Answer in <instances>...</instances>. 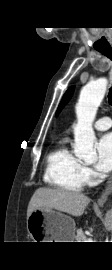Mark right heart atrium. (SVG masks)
Listing matches in <instances>:
<instances>
[{
    "label": "right heart atrium",
    "mask_w": 112,
    "mask_h": 270,
    "mask_svg": "<svg viewBox=\"0 0 112 270\" xmlns=\"http://www.w3.org/2000/svg\"><path fill=\"white\" fill-rule=\"evenodd\" d=\"M82 173H83L85 183L87 184H91L96 177L95 172L87 165H83Z\"/></svg>",
    "instance_id": "1"
}]
</instances>
